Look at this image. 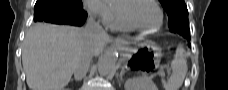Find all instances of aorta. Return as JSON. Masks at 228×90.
<instances>
[{
    "instance_id": "1",
    "label": "aorta",
    "mask_w": 228,
    "mask_h": 90,
    "mask_svg": "<svg viewBox=\"0 0 228 90\" xmlns=\"http://www.w3.org/2000/svg\"><path fill=\"white\" fill-rule=\"evenodd\" d=\"M118 60V53L115 48L109 49L99 60L98 72L101 76L109 75L116 66Z\"/></svg>"
}]
</instances>
